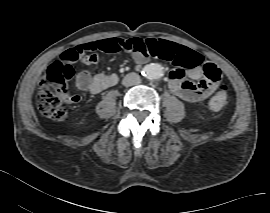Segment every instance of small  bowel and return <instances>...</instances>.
Segmentation results:
<instances>
[{
	"label": "small bowel",
	"mask_w": 270,
	"mask_h": 213,
	"mask_svg": "<svg viewBox=\"0 0 270 213\" xmlns=\"http://www.w3.org/2000/svg\"><path fill=\"white\" fill-rule=\"evenodd\" d=\"M112 40L114 39L79 43L77 46L82 49L80 62L95 68L101 61L102 54L110 52ZM148 43L153 44V48L149 52L150 57L161 60L170 59L173 62L174 67L168 72L167 80L174 94L186 102L194 103L206 99L213 92L216 84L204 75L203 69L199 65L200 55L198 53L169 40L154 39ZM87 52L88 54H86ZM145 57L136 54L134 58L136 67L145 63ZM186 77L194 82L187 80ZM117 81L118 77L115 74L91 75L90 72L84 70L77 75L76 87L81 91L98 94L115 85Z\"/></svg>",
	"instance_id": "small-bowel-1"
}]
</instances>
